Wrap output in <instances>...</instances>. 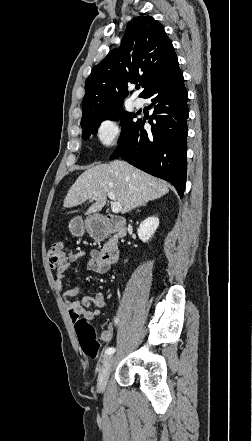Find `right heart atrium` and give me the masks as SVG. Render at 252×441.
<instances>
[{
  "label": "right heart atrium",
  "mask_w": 252,
  "mask_h": 441,
  "mask_svg": "<svg viewBox=\"0 0 252 441\" xmlns=\"http://www.w3.org/2000/svg\"><path fill=\"white\" fill-rule=\"evenodd\" d=\"M121 134V127L114 119H104L96 131V139L103 148H110L117 144Z\"/></svg>",
  "instance_id": "1"
}]
</instances>
